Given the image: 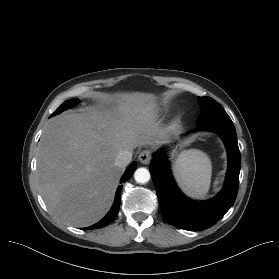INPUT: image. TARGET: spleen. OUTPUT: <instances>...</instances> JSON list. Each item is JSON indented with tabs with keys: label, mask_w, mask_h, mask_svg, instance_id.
I'll return each mask as SVG.
<instances>
[{
	"label": "spleen",
	"mask_w": 279,
	"mask_h": 279,
	"mask_svg": "<svg viewBox=\"0 0 279 279\" xmlns=\"http://www.w3.org/2000/svg\"><path fill=\"white\" fill-rule=\"evenodd\" d=\"M174 173L187 195L197 199L206 197L211 183L212 165L204 152L196 149L183 152L174 163Z\"/></svg>",
	"instance_id": "obj_1"
}]
</instances>
